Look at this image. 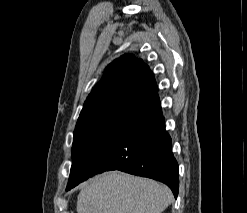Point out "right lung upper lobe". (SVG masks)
<instances>
[{
  "label": "right lung upper lobe",
  "mask_w": 247,
  "mask_h": 213,
  "mask_svg": "<svg viewBox=\"0 0 247 213\" xmlns=\"http://www.w3.org/2000/svg\"><path fill=\"white\" fill-rule=\"evenodd\" d=\"M157 93L149 67L133 55H123L105 69L103 78L87 97L76 126L116 106L147 99Z\"/></svg>",
  "instance_id": "right-lung-upper-lobe-1"
}]
</instances>
